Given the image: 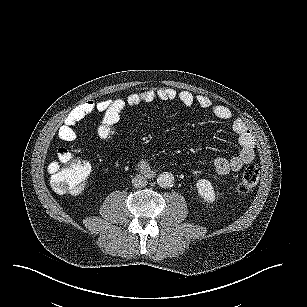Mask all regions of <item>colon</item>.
I'll list each match as a JSON object with an SVG mask.
<instances>
[{
  "label": "colon",
  "instance_id": "5ec220e1",
  "mask_svg": "<svg viewBox=\"0 0 307 307\" xmlns=\"http://www.w3.org/2000/svg\"><path fill=\"white\" fill-rule=\"evenodd\" d=\"M51 185L59 194L82 193L88 184L90 167L81 156L67 148H60L56 159L49 167ZM259 170L255 165H250L243 171L237 183L240 193L250 192L257 184Z\"/></svg>",
  "mask_w": 307,
  "mask_h": 307
}]
</instances>
